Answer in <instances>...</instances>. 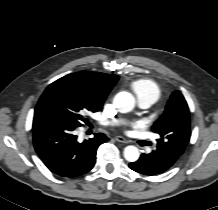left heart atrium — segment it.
Here are the masks:
<instances>
[{
	"label": "left heart atrium",
	"instance_id": "39dd6f15",
	"mask_svg": "<svg viewBox=\"0 0 218 210\" xmlns=\"http://www.w3.org/2000/svg\"><path fill=\"white\" fill-rule=\"evenodd\" d=\"M133 126L139 128V127H141L142 125H141L140 122H135V123H133Z\"/></svg>",
	"mask_w": 218,
	"mask_h": 210
}]
</instances>
